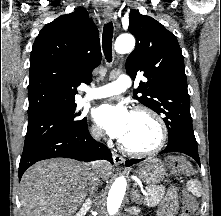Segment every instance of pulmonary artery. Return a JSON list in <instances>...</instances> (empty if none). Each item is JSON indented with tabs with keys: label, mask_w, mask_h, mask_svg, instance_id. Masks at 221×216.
I'll return each mask as SVG.
<instances>
[{
	"label": "pulmonary artery",
	"mask_w": 221,
	"mask_h": 216,
	"mask_svg": "<svg viewBox=\"0 0 221 216\" xmlns=\"http://www.w3.org/2000/svg\"><path fill=\"white\" fill-rule=\"evenodd\" d=\"M131 86L130 77L119 75L113 82L87 92L85 100L101 99L125 92Z\"/></svg>",
	"instance_id": "pulmonary-artery-1"
}]
</instances>
